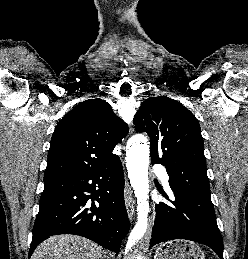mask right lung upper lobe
<instances>
[{"label":"right lung upper lobe","instance_id":"1","mask_svg":"<svg viewBox=\"0 0 248 259\" xmlns=\"http://www.w3.org/2000/svg\"><path fill=\"white\" fill-rule=\"evenodd\" d=\"M127 124L104 100L81 102L59 121L48 152L44 181L79 174L110 163Z\"/></svg>","mask_w":248,"mask_h":259}]
</instances>
